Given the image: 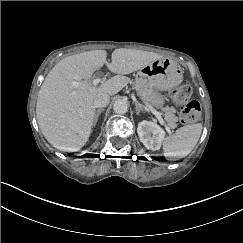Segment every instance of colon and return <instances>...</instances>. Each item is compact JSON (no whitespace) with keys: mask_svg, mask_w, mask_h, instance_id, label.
<instances>
[{"mask_svg":"<svg viewBox=\"0 0 243 243\" xmlns=\"http://www.w3.org/2000/svg\"><path fill=\"white\" fill-rule=\"evenodd\" d=\"M191 93L188 84H183L172 92L173 103L181 108V122L185 124L197 122L201 118L200 104L197 101H190Z\"/></svg>","mask_w":243,"mask_h":243,"instance_id":"5ec220e1","label":"colon"}]
</instances>
